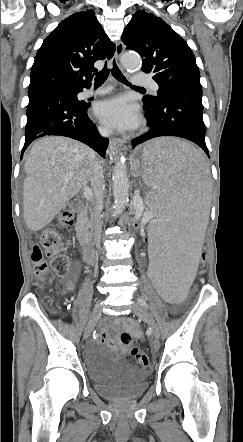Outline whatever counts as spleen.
<instances>
[{"label": "spleen", "instance_id": "3e777b00", "mask_svg": "<svg viewBox=\"0 0 243 442\" xmlns=\"http://www.w3.org/2000/svg\"><path fill=\"white\" fill-rule=\"evenodd\" d=\"M135 176L144 184L150 214L148 277L152 291L167 307H180L189 295L205 234L210 201L208 169L191 144L174 138L147 143L139 155ZM166 192V193H165Z\"/></svg>", "mask_w": 243, "mask_h": 442}]
</instances>
